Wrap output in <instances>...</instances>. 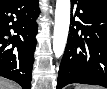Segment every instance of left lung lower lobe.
I'll return each mask as SVG.
<instances>
[{
	"label": "left lung lower lobe",
	"instance_id": "1",
	"mask_svg": "<svg viewBox=\"0 0 107 89\" xmlns=\"http://www.w3.org/2000/svg\"><path fill=\"white\" fill-rule=\"evenodd\" d=\"M75 3L78 4L75 13L81 21H71L57 89L71 83L107 87V8L81 0Z\"/></svg>",
	"mask_w": 107,
	"mask_h": 89
}]
</instances>
